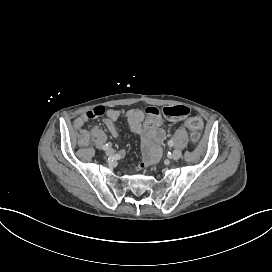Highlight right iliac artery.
<instances>
[{
    "label": "right iliac artery",
    "mask_w": 272,
    "mask_h": 272,
    "mask_svg": "<svg viewBox=\"0 0 272 272\" xmlns=\"http://www.w3.org/2000/svg\"><path fill=\"white\" fill-rule=\"evenodd\" d=\"M109 147H110V144H105L102 148H103V150H108L109 149Z\"/></svg>",
    "instance_id": "82829eb1"
}]
</instances>
